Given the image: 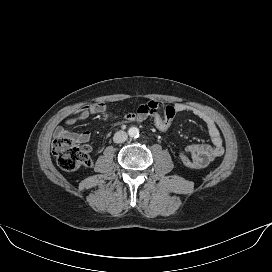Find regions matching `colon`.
<instances>
[{
	"label": "colon",
	"mask_w": 272,
	"mask_h": 272,
	"mask_svg": "<svg viewBox=\"0 0 272 272\" xmlns=\"http://www.w3.org/2000/svg\"><path fill=\"white\" fill-rule=\"evenodd\" d=\"M138 114L142 121L152 123L160 131H166L173 123L176 109L172 105H165L160 110L143 109L140 110ZM53 154L58 165L66 171L75 170L80 166L91 165V159L86 150L77 145L73 139L65 135L55 138L53 142ZM178 157L180 161L189 168H201V164L198 161L192 159L183 151L178 153Z\"/></svg>",
	"instance_id": "obj_1"
}]
</instances>
